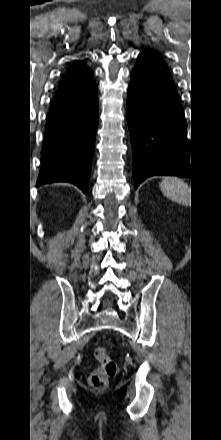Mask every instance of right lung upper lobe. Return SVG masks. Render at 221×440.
Segmentation results:
<instances>
[{
  "instance_id": "1",
  "label": "right lung upper lobe",
  "mask_w": 221,
  "mask_h": 440,
  "mask_svg": "<svg viewBox=\"0 0 221 440\" xmlns=\"http://www.w3.org/2000/svg\"><path fill=\"white\" fill-rule=\"evenodd\" d=\"M93 72L83 63H76L72 65L65 74L60 87L72 86L83 83L92 78Z\"/></svg>"
}]
</instances>
